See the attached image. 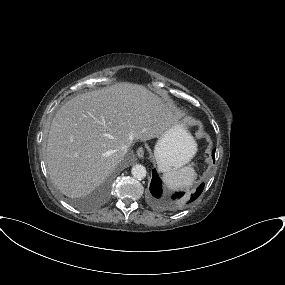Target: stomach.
I'll return each instance as SVG.
<instances>
[{
    "label": "stomach",
    "mask_w": 285,
    "mask_h": 285,
    "mask_svg": "<svg viewBox=\"0 0 285 285\" xmlns=\"http://www.w3.org/2000/svg\"><path fill=\"white\" fill-rule=\"evenodd\" d=\"M196 152V143L182 127L160 138L155 148V156L160 169L174 171L188 163Z\"/></svg>",
    "instance_id": "0dacf381"
}]
</instances>
